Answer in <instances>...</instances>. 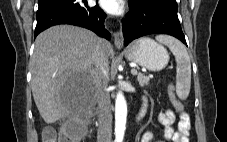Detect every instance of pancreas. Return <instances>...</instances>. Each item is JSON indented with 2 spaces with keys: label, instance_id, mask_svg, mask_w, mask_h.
<instances>
[{
  "label": "pancreas",
  "instance_id": "pancreas-1",
  "mask_svg": "<svg viewBox=\"0 0 227 142\" xmlns=\"http://www.w3.org/2000/svg\"><path fill=\"white\" fill-rule=\"evenodd\" d=\"M137 80H138L140 86L144 87V86H147L149 84L150 77L139 73L138 76H137Z\"/></svg>",
  "mask_w": 227,
  "mask_h": 142
}]
</instances>
